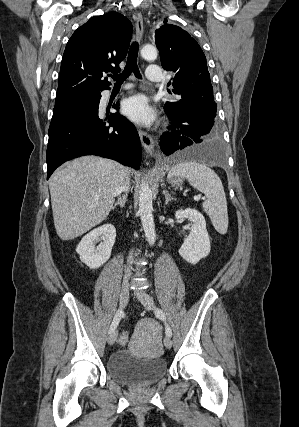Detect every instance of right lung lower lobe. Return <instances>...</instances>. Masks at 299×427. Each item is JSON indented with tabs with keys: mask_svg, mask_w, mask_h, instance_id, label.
I'll use <instances>...</instances> for the list:
<instances>
[{
	"mask_svg": "<svg viewBox=\"0 0 299 427\" xmlns=\"http://www.w3.org/2000/svg\"><path fill=\"white\" fill-rule=\"evenodd\" d=\"M101 94L57 104L49 128L47 179L62 163L83 155H99L138 169L140 138L125 117L110 114L106 124L98 116ZM118 110V103L113 106Z\"/></svg>",
	"mask_w": 299,
	"mask_h": 427,
	"instance_id": "obj_1",
	"label": "right lung lower lobe"
}]
</instances>
